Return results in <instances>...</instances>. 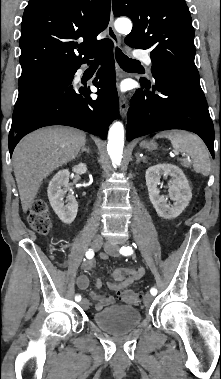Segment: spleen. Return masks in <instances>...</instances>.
Wrapping results in <instances>:
<instances>
[{"label":"spleen","instance_id":"3e777b00","mask_svg":"<svg viewBox=\"0 0 221 379\" xmlns=\"http://www.w3.org/2000/svg\"><path fill=\"white\" fill-rule=\"evenodd\" d=\"M155 138H167L176 152H181L187 158L184 163L192 162L195 172L208 176L211 171L209 152L203 141L196 135L186 131H166L155 135Z\"/></svg>","mask_w":221,"mask_h":379}]
</instances>
